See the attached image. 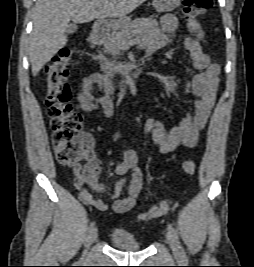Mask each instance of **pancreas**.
<instances>
[{
	"label": "pancreas",
	"mask_w": 254,
	"mask_h": 267,
	"mask_svg": "<svg viewBox=\"0 0 254 267\" xmlns=\"http://www.w3.org/2000/svg\"><path fill=\"white\" fill-rule=\"evenodd\" d=\"M158 26V23L152 17L149 18H138L131 21L130 24L123 27L119 32H112L108 34L102 41L104 46V53H108L113 57L120 54V51L124 49V45L129 42L135 36L139 38L148 36ZM98 59L101 64V70L107 72H120L124 69V66L116 61H108L105 56L100 55L94 57Z\"/></svg>",
	"instance_id": "cf45deb5"
}]
</instances>
